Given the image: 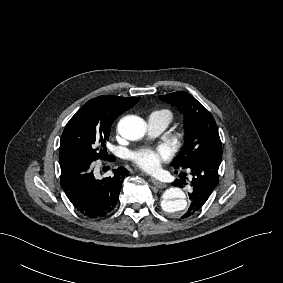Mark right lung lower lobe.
I'll return each instance as SVG.
<instances>
[{
  "instance_id": "right-lung-lower-lobe-1",
  "label": "right lung lower lobe",
  "mask_w": 283,
  "mask_h": 283,
  "mask_svg": "<svg viewBox=\"0 0 283 283\" xmlns=\"http://www.w3.org/2000/svg\"><path fill=\"white\" fill-rule=\"evenodd\" d=\"M115 161V158H111ZM93 160L74 156L61 160L60 185L76 211L89 219L108 215L116 206L122 182L128 171L119 167L112 177L95 179Z\"/></svg>"
}]
</instances>
